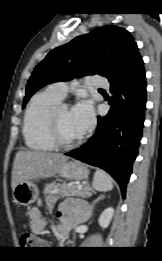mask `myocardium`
<instances>
[{"mask_svg": "<svg viewBox=\"0 0 162 261\" xmlns=\"http://www.w3.org/2000/svg\"><path fill=\"white\" fill-rule=\"evenodd\" d=\"M61 108H65V107L56 106L50 112L48 116V131H49L50 138L56 147L63 148V149H70L77 146L82 141L83 136L81 135L80 137H78L76 140L73 141H66L61 137L58 123H57L58 112Z\"/></svg>", "mask_w": 162, "mask_h": 261, "instance_id": "1", "label": "myocardium"}]
</instances>
